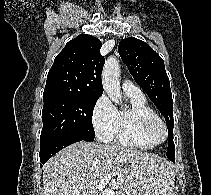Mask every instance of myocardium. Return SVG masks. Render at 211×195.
I'll return each instance as SVG.
<instances>
[{"instance_id": "f54148a6", "label": "myocardium", "mask_w": 211, "mask_h": 195, "mask_svg": "<svg viewBox=\"0 0 211 195\" xmlns=\"http://www.w3.org/2000/svg\"><path fill=\"white\" fill-rule=\"evenodd\" d=\"M160 127L162 130V137L156 138L154 130ZM141 131L143 135L156 145L164 142L168 137V129L165 122L159 116H148L141 121Z\"/></svg>"}]
</instances>
